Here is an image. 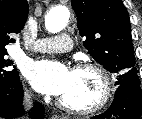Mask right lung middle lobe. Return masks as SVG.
Listing matches in <instances>:
<instances>
[{"mask_svg":"<svg viewBox=\"0 0 142 119\" xmlns=\"http://www.w3.org/2000/svg\"><path fill=\"white\" fill-rule=\"evenodd\" d=\"M7 50L0 51V86H7L19 78L17 69H11L13 62L6 58Z\"/></svg>","mask_w":142,"mask_h":119,"instance_id":"right-lung-middle-lobe-1","label":"right lung middle lobe"}]
</instances>
